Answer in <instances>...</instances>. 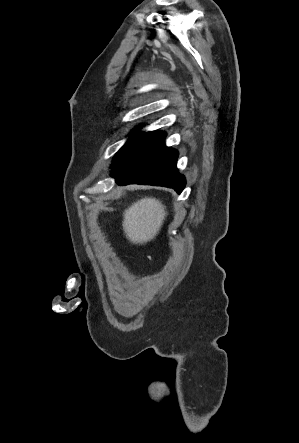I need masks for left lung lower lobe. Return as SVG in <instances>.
<instances>
[{
  "mask_svg": "<svg viewBox=\"0 0 299 443\" xmlns=\"http://www.w3.org/2000/svg\"><path fill=\"white\" fill-rule=\"evenodd\" d=\"M165 137L161 131L143 134L113 166L116 183L164 186L180 194L185 178L176 168L178 153L165 146Z\"/></svg>",
  "mask_w": 299,
  "mask_h": 443,
  "instance_id": "0a47b994",
  "label": "left lung lower lobe"
}]
</instances>
